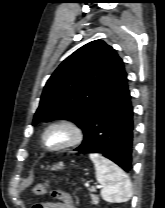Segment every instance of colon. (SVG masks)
Masks as SVG:
<instances>
[{
    "label": "colon",
    "instance_id": "obj_1",
    "mask_svg": "<svg viewBox=\"0 0 165 208\" xmlns=\"http://www.w3.org/2000/svg\"><path fill=\"white\" fill-rule=\"evenodd\" d=\"M46 191H47V184L46 183L38 184V185L34 186V188H33V193L38 196L44 195L46 193ZM33 208H42V205L37 204Z\"/></svg>",
    "mask_w": 165,
    "mask_h": 208
}]
</instances>
